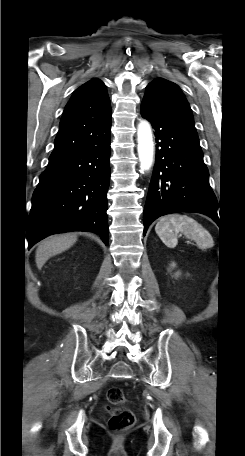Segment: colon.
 Instances as JSON below:
<instances>
[{
    "label": "colon",
    "mask_w": 245,
    "mask_h": 456,
    "mask_svg": "<svg viewBox=\"0 0 245 456\" xmlns=\"http://www.w3.org/2000/svg\"><path fill=\"white\" fill-rule=\"evenodd\" d=\"M106 396L110 404L108 407L110 412L109 428L114 432L130 429L136 422V416L130 409L124 407L126 399L123 391L118 387H111Z\"/></svg>",
    "instance_id": "obj_1"
}]
</instances>
